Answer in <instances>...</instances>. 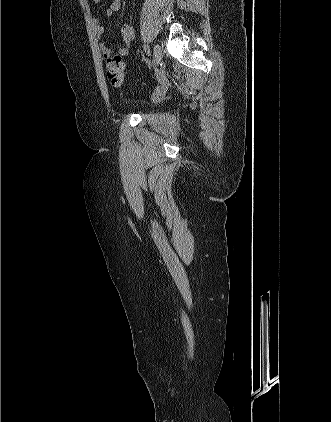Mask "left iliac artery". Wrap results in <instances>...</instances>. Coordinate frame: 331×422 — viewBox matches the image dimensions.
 Wrapping results in <instances>:
<instances>
[{"mask_svg": "<svg viewBox=\"0 0 331 422\" xmlns=\"http://www.w3.org/2000/svg\"><path fill=\"white\" fill-rule=\"evenodd\" d=\"M144 50L147 52L148 55H150V49L148 47V45H144Z\"/></svg>", "mask_w": 331, "mask_h": 422, "instance_id": "44dca946", "label": "left iliac artery"}]
</instances>
